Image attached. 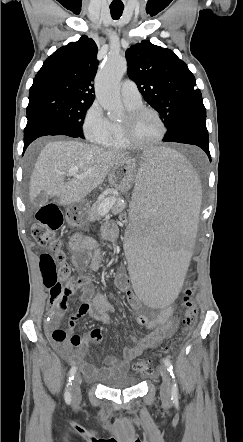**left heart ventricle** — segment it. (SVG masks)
I'll list each match as a JSON object with an SVG mask.
<instances>
[{
  "mask_svg": "<svg viewBox=\"0 0 243 442\" xmlns=\"http://www.w3.org/2000/svg\"><path fill=\"white\" fill-rule=\"evenodd\" d=\"M160 131L161 127L155 115L146 112L134 122L132 138L137 142H149L156 139Z\"/></svg>",
  "mask_w": 243,
  "mask_h": 442,
  "instance_id": "left-heart-ventricle-1",
  "label": "left heart ventricle"
}]
</instances>
